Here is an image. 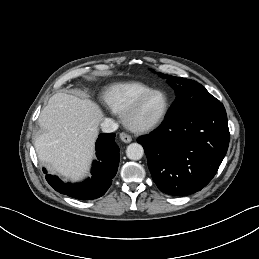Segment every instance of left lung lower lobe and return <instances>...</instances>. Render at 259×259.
I'll list each match as a JSON object with an SVG mask.
<instances>
[{
    "mask_svg": "<svg viewBox=\"0 0 259 259\" xmlns=\"http://www.w3.org/2000/svg\"><path fill=\"white\" fill-rule=\"evenodd\" d=\"M222 103L166 118L149 135L138 138L158 188L187 196L205 187L216 174L229 145Z\"/></svg>",
    "mask_w": 259,
    "mask_h": 259,
    "instance_id": "0a47b994",
    "label": "left lung lower lobe"
}]
</instances>
